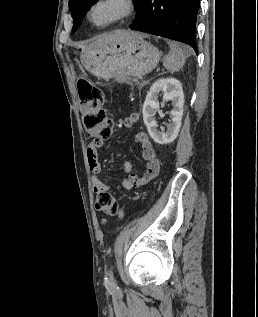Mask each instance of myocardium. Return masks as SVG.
Listing matches in <instances>:
<instances>
[{"mask_svg":"<svg viewBox=\"0 0 258 317\" xmlns=\"http://www.w3.org/2000/svg\"><path fill=\"white\" fill-rule=\"evenodd\" d=\"M108 4L115 7V14L106 20H100L95 17V10L99 5ZM133 4L129 0H94L88 12L90 22L97 27H108L120 22L131 15Z\"/></svg>","mask_w":258,"mask_h":317,"instance_id":"obj_1","label":"myocardium"}]
</instances>
